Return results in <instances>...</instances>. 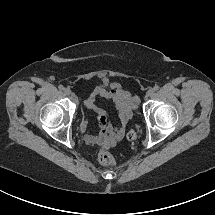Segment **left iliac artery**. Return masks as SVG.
Segmentation results:
<instances>
[{
  "mask_svg": "<svg viewBox=\"0 0 215 215\" xmlns=\"http://www.w3.org/2000/svg\"><path fill=\"white\" fill-rule=\"evenodd\" d=\"M154 90H155V91L159 90V86H158V85H155V86H154Z\"/></svg>",
  "mask_w": 215,
  "mask_h": 215,
  "instance_id": "left-iliac-artery-1",
  "label": "left iliac artery"
}]
</instances>
